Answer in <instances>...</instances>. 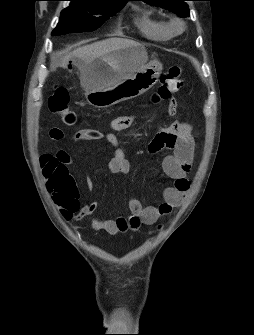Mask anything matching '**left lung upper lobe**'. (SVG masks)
Returning a JSON list of instances; mask_svg holds the SVG:
<instances>
[{"label":"left lung upper lobe","instance_id":"left-lung-upper-lobe-1","mask_svg":"<svg viewBox=\"0 0 254 335\" xmlns=\"http://www.w3.org/2000/svg\"><path fill=\"white\" fill-rule=\"evenodd\" d=\"M154 6H160L168 9L179 17L190 16L188 5L185 1L188 0H141Z\"/></svg>","mask_w":254,"mask_h":335}]
</instances>
